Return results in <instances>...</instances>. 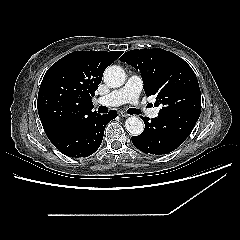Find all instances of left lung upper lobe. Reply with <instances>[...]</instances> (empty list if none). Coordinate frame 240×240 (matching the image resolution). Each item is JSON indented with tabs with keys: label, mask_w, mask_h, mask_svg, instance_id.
I'll return each instance as SVG.
<instances>
[{
	"label": "left lung upper lobe",
	"mask_w": 240,
	"mask_h": 240,
	"mask_svg": "<svg viewBox=\"0 0 240 240\" xmlns=\"http://www.w3.org/2000/svg\"><path fill=\"white\" fill-rule=\"evenodd\" d=\"M120 59L140 71L146 95H155V105H162L159 114H200L199 84L192 68L182 58L155 48L131 50Z\"/></svg>",
	"instance_id": "5c2ea615"
}]
</instances>
